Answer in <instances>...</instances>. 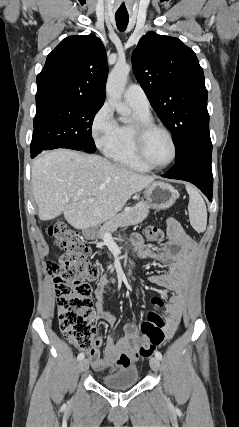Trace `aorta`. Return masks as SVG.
<instances>
[{
	"label": "aorta",
	"mask_w": 239,
	"mask_h": 427,
	"mask_svg": "<svg viewBox=\"0 0 239 427\" xmlns=\"http://www.w3.org/2000/svg\"><path fill=\"white\" fill-rule=\"evenodd\" d=\"M130 70L131 67L129 64L116 63L108 76L106 84V93L110 103L115 107L116 111L123 116L130 113V109L122 103V95Z\"/></svg>",
	"instance_id": "1"
}]
</instances>
